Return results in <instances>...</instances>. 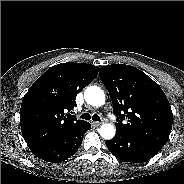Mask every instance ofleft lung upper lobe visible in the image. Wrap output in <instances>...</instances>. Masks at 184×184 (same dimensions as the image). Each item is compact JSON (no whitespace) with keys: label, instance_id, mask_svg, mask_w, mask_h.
Masks as SVG:
<instances>
[{"label":"left lung upper lobe","instance_id":"left-lung-upper-lobe-1","mask_svg":"<svg viewBox=\"0 0 184 184\" xmlns=\"http://www.w3.org/2000/svg\"><path fill=\"white\" fill-rule=\"evenodd\" d=\"M99 76L114 104L116 128L161 150L172 129L173 113L160 86L141 70L125 64L101 66Z\"/></svg>","mask_w":184,"mask_h":184}]
</instances>
